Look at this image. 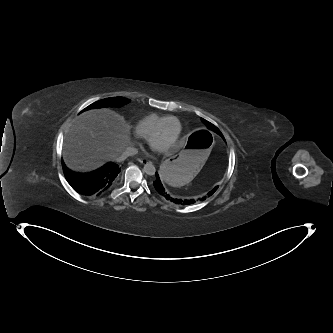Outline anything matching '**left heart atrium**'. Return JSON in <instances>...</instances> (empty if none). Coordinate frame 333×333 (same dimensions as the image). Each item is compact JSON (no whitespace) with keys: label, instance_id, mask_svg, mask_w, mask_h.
<instances>
[{"label":"left heart atrium","instance_id":"1","mask_svg":"<svg viewBox=\"0 0 333 333\" xmlns=\"http://www.w3.org/2000/svg\"><path fill=\"white\" fill-rule=\"evenodd\" d=\"M153 149H154L155 151H160V150H162L161 148H159V147H157V146H155V145H153Z\"/></svg>","mask_w":333,"mask_h":333}]
</instances>
